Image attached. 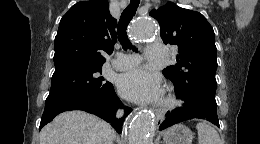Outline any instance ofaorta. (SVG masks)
I'll use <instances>...</instances> for the list:
<instances>
[{
	"label": "aorta",
	"instance_id": "obj_1",
	"mask_svg": "<svg viewBox=\"0 0 260 144\" xmlns=\"http://www.w3.org/2000/svg\"><path fill=\"white\" fill-rule=\"evenodd\" d=\"M155 21L150 18L136 20L131 27L132 38L142 42L155 36ZM153 117L150 112L141 111L128 123V144H153Z\"/></svg>",
	"mask_w": 260,
	"mask_h": 144
}]
</instances>
